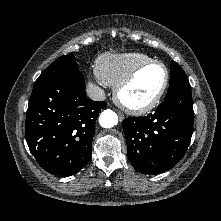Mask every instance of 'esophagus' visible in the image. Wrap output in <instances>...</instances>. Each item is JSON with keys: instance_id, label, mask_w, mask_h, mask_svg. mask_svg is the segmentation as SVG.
I'll use <instances>...</instances> for the list:
<instances>
[{"instance_id": "34e87169", "label": "esophagus", "mask_w": 221, "mask_h": 221, "mask_svg": "<svg viewBox=\"0 0 221 221\" xmlns=\"http://www.w3.org/2000/svg\"><path fill=\"white\" fill-rule=\"evenodd\" d=\"M119 118H120L121 121L124 120V115L119 113Z\"/></svg>"}]
</instances>
